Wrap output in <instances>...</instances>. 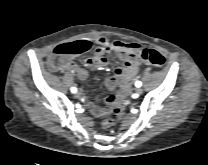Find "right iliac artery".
<instances>
[{"label":"right iliac artery","mask_w":208,"mask_h":165,"mask_svg":"<svg viewBox=\"0 0 208 165\" xmlns=\"http://www.w3.org/2000/svg\"><path fill=\"white\" fill-rule=\"evenodd\" d=\"M71 92H72V93H76V92H77V89H76L75 87H72V88H71Z\"/></svg>","instance_id":"1"}]
</instances>
